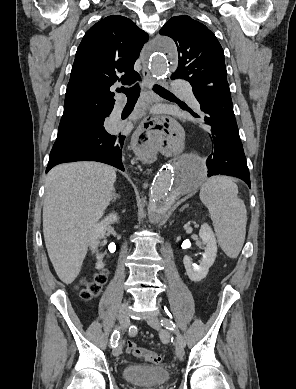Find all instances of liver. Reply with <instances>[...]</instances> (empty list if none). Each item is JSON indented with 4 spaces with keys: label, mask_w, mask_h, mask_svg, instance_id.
Here are the masks:
<instances>
[{
    "label": "liver",
    "mask_w": 296,
    "mask_h": 389,
    "mask_svg": "<svg viewBox=\"0 0 296 389\" xmlns=\"http://www.w3.org/2000/svg\"><path fill=\"white\" fill-rule=\"evenodd\" d=\"M115 181L112 167L87 161L58 165L47 175L43 234L49 258L65 284L81 270L93 229L113 198Z\"/></svg>",
    "instance_id": "obj_1"
}]
</instances>
